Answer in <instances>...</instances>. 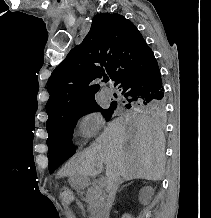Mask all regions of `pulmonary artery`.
Instances as JSON below:
<instances>
[{"instance_id":"1","label":"pulmonary artery","mask_w":211,"mask_h":218,"mask_svg":"<svg viewBox=\"0 0 211 218\" xmlns=\"http://www.w3.org/2000/svg\"><path fill=\"white\" fill-rule=\"evenodd\" d=\"M101 94H102L103 98L110 99L113 97L114 91L111 88L105 86L102 88Z\"/></svg>"}]
</instances>
